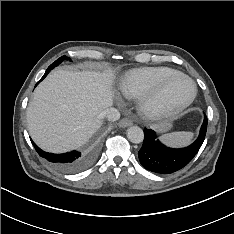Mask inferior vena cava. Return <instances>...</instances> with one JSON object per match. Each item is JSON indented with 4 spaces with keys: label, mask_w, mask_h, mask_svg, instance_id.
Segmentation results:
<instances>
[{
    "label": "inferior vena cava",
    "mask_w": 234,
    "mask_h": 234,
    "mask_svg": "<svg viewBox=\"0 0 234 234\" xmlns=\"http://www.w3.org/2000/svg\"><path fill=\"white\" fill-rule=\"evenodd\" d=\"M100 116L108 121H116L120 118V112L116 108L109 107L103 110Z\"/></svg>",
    "instance_id": "inferior-vena-cava-1"
}]
</instances>
